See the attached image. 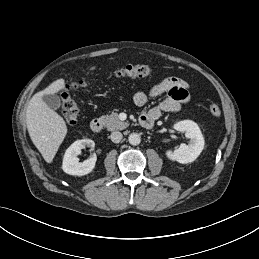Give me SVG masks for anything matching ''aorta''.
Wrapping results in <instances>:
<instances>
[{"label":"aorta","mask_w":259,"mask_h":259,"mask_svg":"<svg viewBox=\"0 0 259 259\" xmlns=\"http://www.w3.org/2000/svg\"><path fill=\"white\" fill-rule=\"evenodd\" d=\"M128 141L131 145H138L141 142V136L138 133H131L128 137Z\"/></svg>","instance_id":"762f6f07"}]
</instances>
